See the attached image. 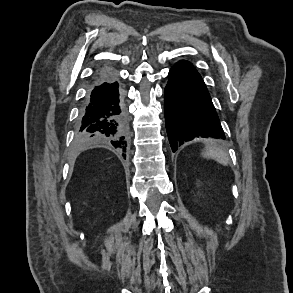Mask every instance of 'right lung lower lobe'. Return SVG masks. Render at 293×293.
Returning <instances> with one entry per match:
<instances>
[{"mask_svg": "<svg viewBox=\"0 0 293 293\" xmlns=\"http://www.w3.org/2000/svg\"><path fill=\"white\" fill-rule=\"evenodd\" d=\"M128 124L119 84L113 70L96 76L80 110L77 140L82 144H111L126 157Z\"/></svg>", "mask_w": 293, "mask_h": 293, "instance_id": "right-lung-lower-lobe-1", "label": "right lung lower lobe"}]
</instances>
